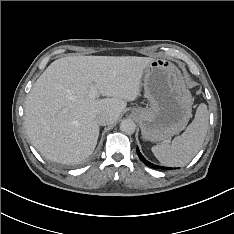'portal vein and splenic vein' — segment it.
<instances>
[{"mask_svg": "<svg viewBox=\"0 0 234 234\" xmlns=\"http://www.w3.org/2000/svg\"><path fill=\"white\" fill-rule=\"evenodd\" d=\"M98 96V92L95 86H91L90 92H89V97L91 99H95Z\"/></svg>", "mask_w": 234, "mask_h": 234, "instance_id": "1", "label": "portal vein and splenic vein"}]
</instances>
